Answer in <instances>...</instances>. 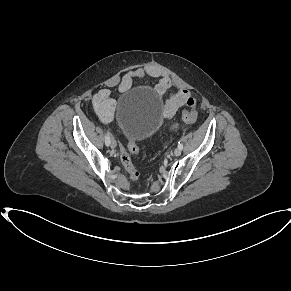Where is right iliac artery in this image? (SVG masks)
I'll use <instances>...</instances> for the list:
<instances>
[{
  "mask_svg": "<svg viewBox=\"0 0 291 291\" xmlns=\"http://www.w3.org/2000/svg\"><path fill=\"white\" fill-rule=\"evenodd\" d=\"M105 144L108 146L110 144V134L107 132L105 137Z\"/></svg>",
  "mask_w": 291,
  "mask_h": 291,
  "instance_id": "1",
  "label": "right iliac artery"
}]
</instances>
